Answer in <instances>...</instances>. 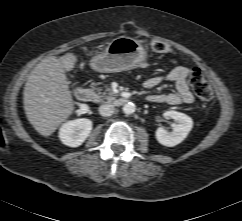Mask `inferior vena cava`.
I'll return each instance as SVG.
<instances>
[{
	"mask_svg": "<svg viewBox=\"0 0 242 221\" xmlns=\"http://www.w3.org/2000/svg\"><path fill=\"white\" fill-rule=\"evenodd\" d=\"M115 111V108L111 104H104L99 107V113L104 116H111Z\"/></svg>",
	"mask_w": 242,
	"mask_h": 221,
	"instance_id": "obj_1",
	"label": "inferior vena cava"
}]
</instances>
